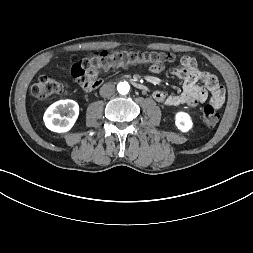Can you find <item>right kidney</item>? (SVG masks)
Masks as SVG:
<instances>
[{
    "mask_svg": "<svg viewBox=\"0 0 253 253\" xmlns=\"http://www.w3.org/2000/svg\"><path fill=\"white\" fill-rule=\"evenodd\" d=\"M65 113H67L66 116H61V114ZM78 115V103L74 100L66 99L59 100L50 105L47 108L43 119L49 130L57 133H64L73 127Z\"/></svg>",
    "mask_w": 253,
    "mask_h": 253,
    "instance_id": "1",
    "label": "right kidney"
}]
</instances>
